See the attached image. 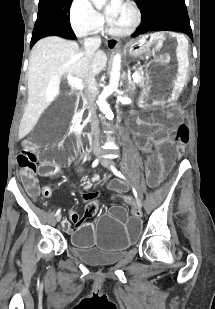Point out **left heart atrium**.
Segmentation results:
<instances>
[{
	"mask_svg": "<svg viewBox=\"0 0 215 309\" xmlns=\"http://www.w3.org/2000/svg\"><path fill=\"white\" fill-rule=\"evenodd\" d=\"M109 5H111L112 7H120L121 0H110ZM121 13H122L121 8H114V9L108 10L105 13V20H118Z\"/></svg>",
	"mask_w": 215,
	"mask_h": 309,
	"instance_id": "39dd6f15",
	"label": "left heart atrium"
}]
</instances>
